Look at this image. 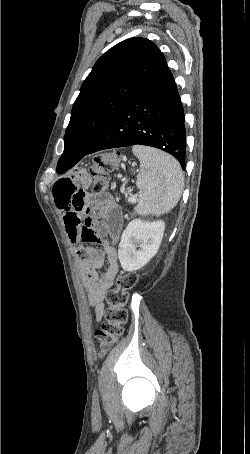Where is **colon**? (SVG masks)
Here are the masks:
<instances>
[{
  "label": "colon",
  "mask_w": 250,
  "mask_h": 454,
  "mask_svg": "<svg viewBox=\"0 0 250 454\" xmlns=\"http://www.w3.org/2000/svg\"><path fill=\"white\" fill-rule=\"evenodd\" d=\"M119 160V152L100 153L93 157L90 174L93 191L96 194L106 190L109 175L115 170ZM137 282V273L123 272L117 277L115 288L109 290L106 294L108 308L105 313V321L95 332L102 353L107 351L123 333V327L128 319L126 305L130 291L136 286Z\"/></svg>",
  "instance_id": "1"
}]
</instances>
